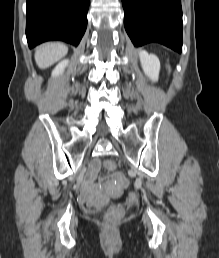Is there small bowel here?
<instances>
[{"mask_svg":"<svg viewBox=\"0 0 219 258\" xmlns=\"http://www.w3.org/2000/svg\"><path fill=\"white\" fill-rule=\"evenodd\" d=\"M98 172H99V162L94 161V163L91 166L89 175L83 184V194L86 197H89L95 191L94 180L97 177ZM125 175H126L125 171H120L119 174H112L111 178L114 179L113 183H115L117 185L118 182L120 181L121 184H131L132 180L124 179Z\"/></svg>","mask_w":219,"mask_h":258,"instance_id":"1","label":"small bowel"}]
</instances>
